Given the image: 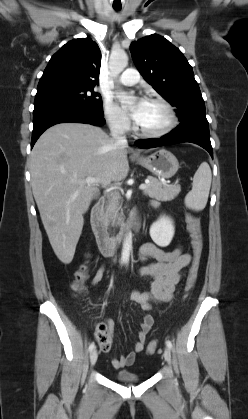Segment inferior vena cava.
I'll list each match as a JSON object with an SVG mask.
<instances>
[{
    "label": "inferior vena cava",
    "mask_w": 248,
    "mask_h": 419,
    "mask_svg": "<svg viewBox=\"0 0 248 419\" xmlns=\"http://www.w3.org/2000/svg\"><path fill=\"white\" fill-rule=\"evenodd\" d=\"M110 131L117 146H127V139L124 135V131L117 121H111Z\"/></svg>",
    "instance_id": "inferior-vena-cava-1"
}]
</instances>
